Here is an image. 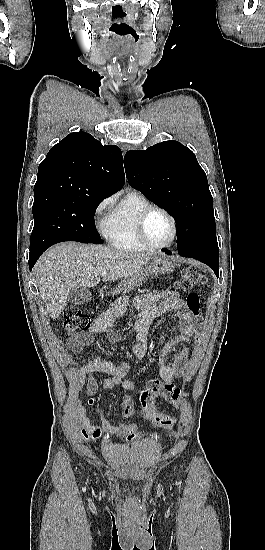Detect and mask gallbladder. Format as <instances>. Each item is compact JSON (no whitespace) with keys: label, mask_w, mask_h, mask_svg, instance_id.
I'll use <instances>...</instances> for the list:
<instances>
[{"label":"gallbladder","mask_w":265,"mask_h":550,"mask_svg":"<svg viewBox=\"0 0 265 550\" xmlns=\"http://www.w3.org/2000/svg\"><path fill=\"white\" fill-rule=\"evenodd\" d=\"M91 299V292L88 288L79 287L70 290L68 301L74 305L87 304Z\"/></svg>","instance_id":"gallbladder-1"}]
</instances>
